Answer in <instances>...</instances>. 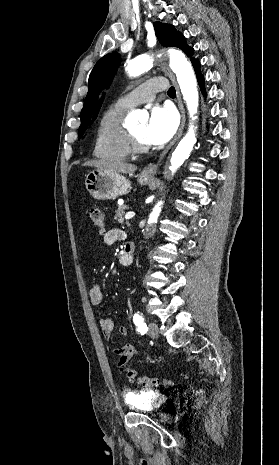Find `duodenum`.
Returning <instances> with one entry per match:
<instances>
[{
    "mask_svg": "<svg viewBox=\"0 0 279 465\" xmlns=\"http://www.w3.org/2000/svg\"><path fill=\"white\" fill-rule=\"evenodd\" d=\"M134 245L132 243H126L120 256V263L123 265H129L133 261Z\"/></svg>",
    "mask_w": 279,
    "mask_h": 465,
    "instance_id": "1",
    "label": "duodenum"
}]
</instances>
